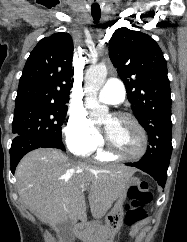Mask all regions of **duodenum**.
<instances>
[{
    "instance_id": "410a0bca",
    "label": "duodenum",
    "mask_w": 187,
    "mask_h": 242,
    "mask_svg": "<svg viewBox=\"0 0 187 242\" xmlns=\"http://www.w3.org/2000/svg\"><path fill=\"white\" fill-rule=\"evenodd\" d=\"M73 231L78 237L84 236L89 233V225L84 222H79L74 226Z\"/></svg>"
}]
</instances>
